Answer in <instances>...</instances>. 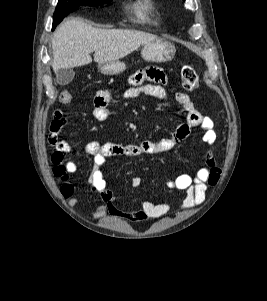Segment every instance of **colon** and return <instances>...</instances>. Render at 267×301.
<instances>
[{"label":"colon","mask_w":267,"mask_h":301,"mask_svg":"<svg viewBox=\"0 0 267 301\" xmlns=\"http://www.w3.org/2000/svg\"><path fill=\"white\" fill-rule=\"evenodd\" d=\"M181 83L186 90H194L199 85V77L197 72L191 65H185L181 69ZM59 100L63 104L72 101V93L69 90H63L59 95Z\"/></svg>","instance_id":"obj_1"}]
</instances>
